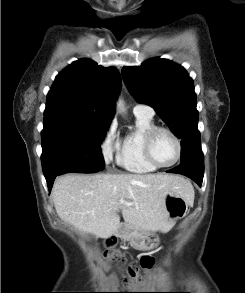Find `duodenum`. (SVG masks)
Here are the masks:
<instances>
[{"label": "duodenum", "mask_w": 245, "mask_h": 293, "mask_svg": "<svg viewBox=\"0 0 245 293\" xmlns=\"http://www.w3.org/2000/svg\"><path fill=\"white\" fill-rule=\"evenodd\" d=\"M113 235L116 236V237H120V234H121V228L119 226H114L113 227Z\"/></svg>", "instance_id": "1"}]
</instances>
